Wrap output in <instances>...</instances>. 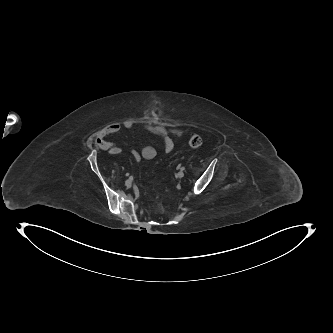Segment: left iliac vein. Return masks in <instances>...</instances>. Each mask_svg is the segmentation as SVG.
Wrapping results in <instances>:
<instances>
[{"instance_id": "left-iliac-vein-1", "label": "left iliac vein", "mask_w": 333, "mask_h": 333, "mask_svg": "<svg viewBox=\"0 0 333 333\" xmlns=\"http://www.w3.org/2000/svg\"><path fill=\"white\" fill-rule=\"evenodd\" d=\"M184 176V172L183 171H179L177 174H176V177L177 178H182Z\"/></svg>"}]
</instances>
